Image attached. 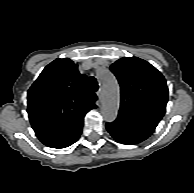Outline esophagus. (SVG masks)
I'll return each instance as SVG.
<instances>
[{
	"mask_svg": "<svg viewBox=\"0 0 194 193\" xmlns=\"http://www.w3.org/2000/svg\"><path fill=\"white\" fill-rule=\"evenodd\" d=\"M102 95H103L102 89H99V91L97 92V96H98L99 100L102 99Z\"/></svg>",
	"mask_w": 194,
	"mask_h": 193,
	"instance_id": "34e87169",
	"label": "esophagus"
}]
</instances>
